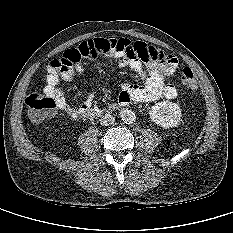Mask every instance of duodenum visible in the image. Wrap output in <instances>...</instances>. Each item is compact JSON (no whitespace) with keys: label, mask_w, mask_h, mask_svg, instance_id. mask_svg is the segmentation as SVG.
I'll list each match as a JSON object with an SVG mask.
<instances>
[{"label":"duodenum","mask_w":233,"mask_h":233,"mask_svg":"<svg viewBox=\"0 0 233 233\" xmlns=\"http://www.w3.org/2000/svg\"><path fill=\"white\" fill-rule=\"evenodd\" d=\"M97 114H99V110H94V109H92L91 111H90V116H95V115H97Z\"/></svg>","instance_id":"duodenum-1"}]
</instances>
